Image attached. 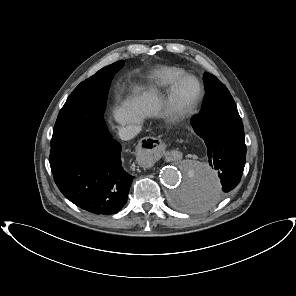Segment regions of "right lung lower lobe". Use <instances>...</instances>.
<instances>
[{
    "instance_id": "1",
    "label": "right lung lower lobe",
    "mask_w": 296,
    "mask_h": 296,
    "mask_svg": "<svg viewBox=\"0 0 296 296\" xmlns=\"http://www.w3.org/2000/svg\"><path fill=\"white\" fill-rule=\"evenodd\" d=\"M121 146L107 135L76 147L51 148L49 162L61 193L94 214H115L127 201L134 178L122 167Z\"/></svg>"
}]
</instances>
